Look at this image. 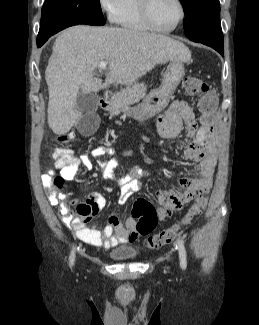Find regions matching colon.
<instances>
[{"mask_svg":"<svg viewBox=\"0 0 259 325\" xmlns=\"http://www.w3.org/2000/svg\"><path fill=\"white\" fill-rule=\"evenodd\" d=\"M183 87L186 93L200 100V108L202 110L201 124L204 129L210 132L213 122V115L217 108V100L209 86L200 78L187 76L183 80ZM72 139V135H63L56 139L60 145L55 148L54 155L62 157L67 154L68 150L65 146ZM45 185L47 196L51 201H59L61 190L64 187V179L59 176L51 177ZM208 203L206 193H201L196 198L193 205L189 208L185 216L171 227L160 231L159 233L150 235L158 221V214L155 207L143 198L137 199L132 208V216L136 219L135 229L139 235L147 236L146 246L150 249H157L171 243L178 235L181 227L189 224Z\"/></svg>","mask_w":259,"mask_h":325,"instance_id":"5ec220e1","label":"colon"}]
</instances>
